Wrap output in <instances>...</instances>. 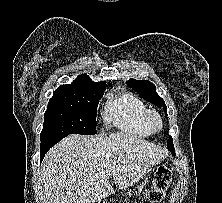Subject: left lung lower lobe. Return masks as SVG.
Returning a JSON list of instances; mask_svg holds the SVG:
<instances>
[{
	"label": "left lung lower lobe",
	"mask_w": 222,
	"mask_h": 203,
	"mask_svg": "<svg viewBox=\"0 0 222 203\" xmlns=\"http://www.w3.org/2000/svg\"><path fill=\"white\" fill-rule=\"evenodd\" d=\"M170 151H171V153L174 155L175 154V149L173 148H168Z\"/></svg>",
	"instance_id": "0a47b994"
}]
</instances>
